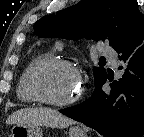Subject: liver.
Instances as JSON below:
<instances>
[{
    "instance_id": "liver-1",
    "label": "liver",
    "mask_w": 144,
    "mask_h": 137,
    "mask_svg": "<svg viewBox=\"0 0 144 137\" xmlns=\"http://www.w3.org/2000/svg\"><path fill=\"white\" fill-rule=\"evenodd\" d=\"M74 121L55 109L39 107L25 108L12 113L6 120V124H22L46 126L51 128H66Z\"/></svg>"
}]
</instances>
